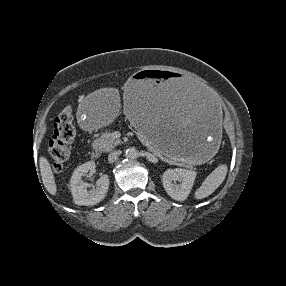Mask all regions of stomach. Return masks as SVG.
Masks as SVG:
<instances>
[{
	"label": "stomach",
	"mask_w": 286,
	"mask_h": 286,
	"mask_svg": "<svg viewBox=\"0 0 286 286\" xmlns=\"http://www.w3.org/2000/svg\"><path fill=\"white\" fill-rule=\"evenodd\" d=\"M121 108L119 94L100 87L78 102L75 116L82 127L99 130ZM124 114L154 149L178 161L206 162L221 141L220 98L210 85L184 73L154 67L136 71L126 85Z\"/></svg>",
	"instance_id": "1"
}]
</instances>
